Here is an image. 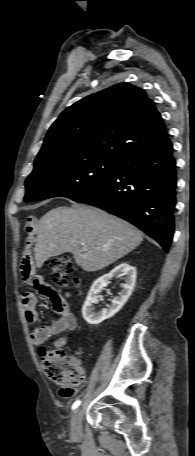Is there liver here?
I'll return each instance as SVG.
<instances>
[{"label": "liver", "instance_id": "obj_1", "mask_svg": "<svg viewBox=\"0 0 195 456\" xmlns=\"http://www.w3.org/2000/svg\"><path fill=\"white\" fill-rule=\"evenodd\" d=\"M142 240L136 227L101 209L77 204L58 207L39 221L36 266L40 268L49 258L70 252L83 270L99 271L134 250Z\"/></svg>", "mask_w": 195, "mask_h": 456}]
</instances>
